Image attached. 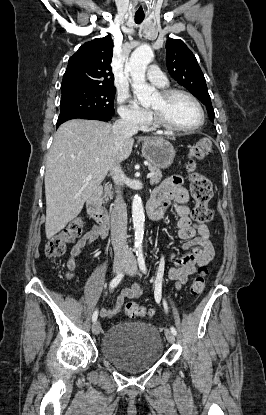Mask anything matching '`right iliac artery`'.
<instances>
[{
    "label": "right iliac artery",
    "instance_id": "1",
    "mask_svg": "<svg viewBox=\"0 0 266 415\" xmlns=\"http://www.w3.org/2000/svg\"><path fill=\"white\" fill-rule=\"evenodd\" d=\"M123 276H124V274H123V272H121V273H119L112 281H111V283H110V288L111 289H113V288H115L119 283H120V281L122 280V278H123ZM97 317H98V311L96 310L94 313H93V315H92V321L93 322H95L96 320H97Z\"/></svg>",
    "mask_w": 266,
    "mask_h": 415
}]
</instances>
